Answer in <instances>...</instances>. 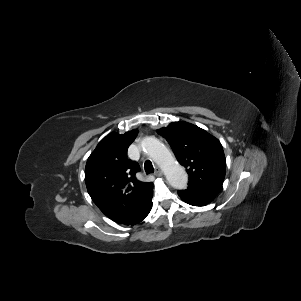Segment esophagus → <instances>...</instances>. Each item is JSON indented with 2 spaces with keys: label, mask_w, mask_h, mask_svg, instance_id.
I'll use <instances>...</instances> for the list:
<instances>
[{
  "label": "esophagus",
  "mask_w": 301,
  "mask_h": 301,
  "mask_svg": "<svg viewBox=\"0 0 301 301\" xmlns=\"http://www.w3.org/2000/svg\"><path fill=\"white\" fill-rule=\"evenodd\" d=\"M154 174L156 176H162L163 172L160 167H156Z\"/></svg>",
  "instance_id": "1"
}]
</instances>
